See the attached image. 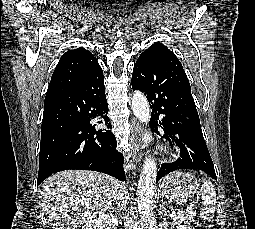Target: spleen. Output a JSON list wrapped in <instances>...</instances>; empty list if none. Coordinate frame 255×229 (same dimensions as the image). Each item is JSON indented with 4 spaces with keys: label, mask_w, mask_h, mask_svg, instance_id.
Wrapping results in <instances>:
<instances>
[{
    "label": "spleen",
    "mask_w": 255,
    "mask_h": 229,
    "mask_svg": "<svg viewBox=\"0 0 255 229\" xmlns=\"http://www.w3.org/2000/svg\"><path fill=\"white\" fill-rule=\"evenodd\" d=\"M202 206L200 210V217L204 220L211 221L215 214L216 206V192L211 181L202 178Z\"/></svg>",
    "instance_id": "3e777b00"
}]
</instances>
